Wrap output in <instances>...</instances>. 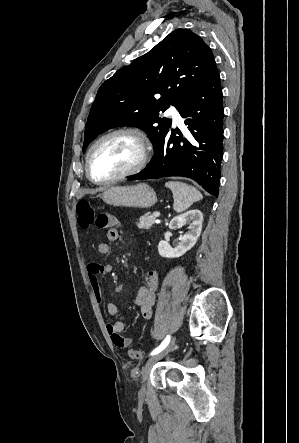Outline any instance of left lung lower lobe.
<instances>
[{
	"instance_id": "left-lung-lower-lobe-1",
	"label": "left lung lower lobe",
	"mask_w": 299,
	"mask_h": 443,
	"mask_svg": "<svg viewBox=\"0 0 299 443\" xmlns=\"http://www.w3.org/2000/svg\"><path fill=\"white\" fill-rule=\"evenodd\" d=\"M190 134L168 130L147 167L129 180L183 176L218 196L222 160L223 101L216 65L178 110Z\"/></svg>"
}]
</instances>
